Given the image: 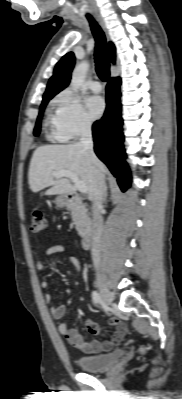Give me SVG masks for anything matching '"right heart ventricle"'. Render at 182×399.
<instances>
[{"label":"right heart ventricle","instance_id":"1","mask_svg":"<svg viewBox=\"0 0 182 399\" xmlns=\"http://www.w3.org/2000/svg\"><path fill=\"white\" fill-rule=\"evenodd\" d=\"M45 124H46L47 128L49 129L48 136L50 138L62 140V138L59 134V131L57 129V126H56L55 113H52L51 111L48 112Z\"/></svg>","mask_w":182,"mask_h":399}]
</instances>
